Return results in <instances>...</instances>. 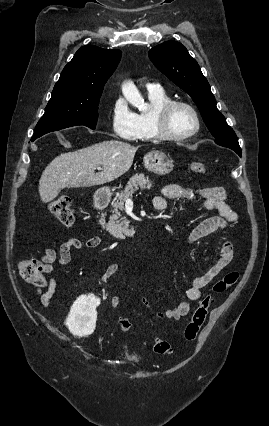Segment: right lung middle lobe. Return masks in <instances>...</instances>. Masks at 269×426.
<instances>
[{
  "mask_svg": "<svg viewBox=\"0 0 269 426\" xmlns=\"http://www.w3.org/2000/svg\"><path fill=\"white\" fill-rule=\"evenodd\" d=\"M101 95L95 97H68L63 93H52L45 113L37 123L33 142L42 135L71 126L84 125L95 129L98 104Z\"/></svg>",
  "mask_w": 269,
  "mask_h": 426,
  "instance_id": "obj_1",
  "label": "right lung middle lobe"
}]
</instances>
